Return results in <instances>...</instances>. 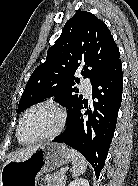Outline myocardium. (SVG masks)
<instances>
[{
    "label": "myocardium",
    "mask_w": 138,
    "mask_h": 186,
    "mask_svg": "<svg viewBox=\"0 0 138 186\" xmlns=\"http://www.w3.org/2000/svg\"><path fill=\"white\" fill-rule=\"evenodd\" d=\"M44 107L51 108V109L55 110L56 112H58V114L60 116V122H59V125L57 126V128L47 135H44V136H41V137H38V138H35L32 140L26 141V140L22 139V137L20 135V129H21L22 123H23L24 119L26 118V116L30 112H32L33 110H36L39 108H44ZM66 122H67V112L63 107H61L60 105H58L57 103L52 102V101L41 102V103L31 106L22 114V116L18 122V125H17L16 136H17V139L20 143L26 144V145L34 144V143L41 142V141H46V140L54 138L59 133H61L63 131V129L65 128Z\"/></svg>",
    "instance_id": "obj_1"
}]
</instances>
